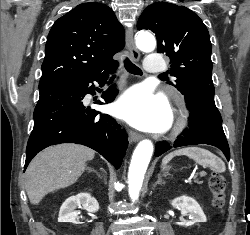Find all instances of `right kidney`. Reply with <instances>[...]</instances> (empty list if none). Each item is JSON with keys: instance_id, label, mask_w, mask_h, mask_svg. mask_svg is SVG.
Segmentation results:
<instances>
[{"instance_id": "1", "label": "right kidney", "mask_w": 250, "mask_h": 235, "mask_svg": "<svg viewBox=\"0 0 250 235\" xmlns=\"http://www.w3.org/2000/svg\"><path fill=\"white\" fill-rule=\"evenodd\" d=\"M83 207L88 213H95L99 209L97 200L89 193H80L76 196H71L62 204L58 222H71L75 223L78 216L76 208Z\"/></svg>"}]
</instances>
